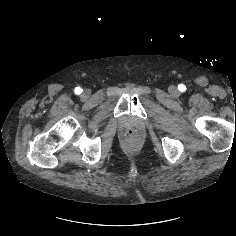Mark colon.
Here are the masks:
<instances>
[{"label": "colon", "instance_id": "5ec220e1", "mask_svg": "<svg viewBox=\"0 0 236 236\" xmlns=\"http://www.w3.org/2000/svg\"><path fill=\"white\" fill-rule=\"evenodd\" d=\"M126 140H134L138 137V132L135 129H128L124 135Z\"/></svg>", "mask_w": 236, "mask_h": 236}]
</instances>
